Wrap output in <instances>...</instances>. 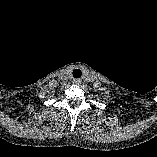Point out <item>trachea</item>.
I'll return each mask as SVG.
<instances>
[{
    "label": "trachea",
    "mask_w": 157,
    "mask_h": 157,
    "mask_svg": "<svg viewBox=\"0 0 157 157\" xmlns=\"http://www.w3.org/2000/svg\"><path fill=\"white\" fill-rule=\"evenodd\" d=\"M82 76V71L80 69H74L73 70V77L74 78H81Z\"/></svg>",
    "instance_id": "trachea-1"
}]
</instances>
